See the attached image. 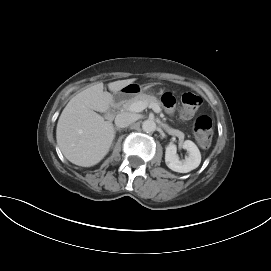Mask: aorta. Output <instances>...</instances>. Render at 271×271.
<instances>
[{
    "mask_svg": "<svg viewBox=\"0 0 271 271\" xmlns=\"http://www.w3.org/2000/svg\"><path fill=\"white\" fill-rule=\"evenodd\" d=\"M142 129L146 133H152L156 130V123L153 120H145L142 123Z\"/></svg>",
    "mask_w": 271,
    "mask_h": 271,
    "instance_id": "obj_1",
    "label": "aorta"
}]
</instances>
